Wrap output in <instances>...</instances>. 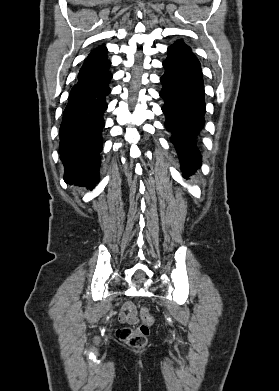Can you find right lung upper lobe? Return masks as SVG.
<instances>
[{
    "mask_svg": "<svg viewBox=\"0 0 279 391\" xmlns=\"http://www.w3.org/2000/svg\"><path fill=\"white\" fill-rule=\"evenodd\" d=\"M107 49L97 47L86 58L83 66L78 74V81L88 79L108 71L110 67V61L107 59Z\"/></svg>",
    "mask_w": 279,
    "mask_h": 391,
    "instance_id": "1",
    "label": "right lung upper lobe"
}]
</instances>
